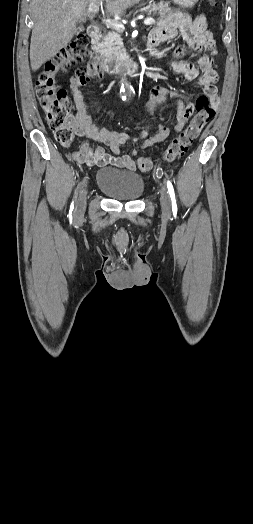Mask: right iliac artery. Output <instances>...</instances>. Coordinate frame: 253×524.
<instances>
[{"label": "right iliac artery", "mask_w": 253, "mask_h": 524, "mask_svg": "<svg viewBox=\"0 0 253 524\" xmlns=\"http://www.w3.org/2000/svg\"><path fill=\"white\" fill-rule=\"evenodd\" d=\"M85 181H86V180L83 179V180H81V181L79 182V184L77 185L76 190H75V195L78 194V192L80 191V189L84 186ZM69 212H70V215H71L72 213L75 212V202H74V200H73L72 203H71L70 211H69Z\"/></svg>", "instance_id": "82829eb1"}]
</instances>
